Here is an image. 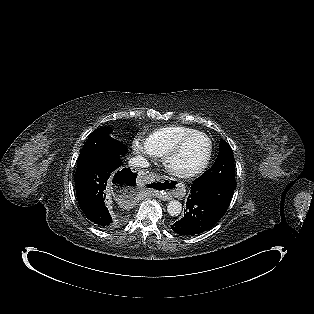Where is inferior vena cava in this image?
I'll list each match as a JSON object with an SVG mask.
<instances>
[{
  "instance_id": "obj_1",
  "label": "inferior vena cava",
  "mask_w": 314,
  "mask_h": 314,
  "mask_svg": "<svg viewBox=\"0 0 314 314\" xmlns=\"http://www.w3.org/2000/svg\"><path fill=\"white\" fill-rule=\"evenodd\" d=\"M129 164L133 167H143L146 168L149 166V162L146 158L141 155L135 156L130 159Z\"/></svg>"
}]
</instances>
